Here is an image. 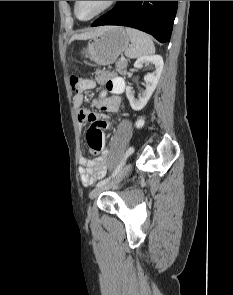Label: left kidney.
<instances>
[{"label":"left kidney","instance_id":"5707ae66","mask_svg":"<svg viewBox=\"0 0 233 295\" xmlns=\"http://www.w3.org/2000/svg\"><path fill=\"white\" fill-rule=\"evenodd\" d=\"M146 63H152L154 65V71L144 76L146 89L139 94V98L135 99L131 86L126 88V96L130 102V106L134 110H141L146 106L157 86L158 80L163 70V58L160 55L141 56L136 60L134 67L139 69L142 68Z\"/></svg>","mask_w":233,"mask_h":295}]
</instances>
